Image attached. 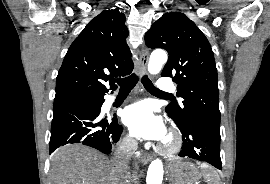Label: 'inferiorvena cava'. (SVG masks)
Wrapping results in <instances>:
<instances>
[{
  "mask_svg": "<svg viewBox=\"0 0 270 184\" xmlns=\"http://www.w3.org/2000/svg\"><path fill=\"white\" fill-rule=\"evenodd\" d=\"M136 147L137 142L133 139H125L118 144L111 162L121 173L127 170L131 151Z\"/></svg>",
  "mask_w": 270,
  "mask_h": 184,
  "instance_id": "602c4592",
  "label": "inferior vena cava"
}]
</instances>
